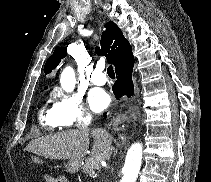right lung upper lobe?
<instances>
[{
	"label": "right lung upper lobe",
	"mask_w": 211,
	"mask_h": 182,
	"mask_svg": "<svg viewBox=\"0 0 211 182\" xmlns=\"http://www.w3.org/2000/svg\"><path fill=\"white\" fill-rule=\"evenodd\" d=\"M128 41L125 39L122 31L114 22L105 24V31L101 36V49L97 54L105 55L107 61L114 65L123 54ZM67 55L65 47L57 48L44 65L45 74L50 73L60 63V60Z\"/></svg>",
	"instance_id": "1"
}]
</instances>
